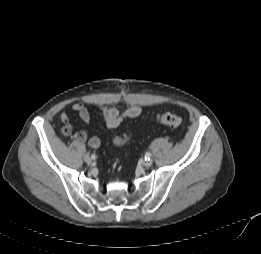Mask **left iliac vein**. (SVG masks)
Listing matches in <instances>:
<instances>
[{"mask_svg":"<svg viewBox=\"0 0 261 254\" xmlns=\"http://www.w3.org/2000/svg\"><path fill=\"white\" fill-rule=\"evenodd\" d=\"M152 163H153V160L150 159V160L144 161L143 165H144V167L149 168L152 165Z\"/></svg>","mask_w":261,"mask_h":254,"instance_id":"obj_1","label":"left iliac vein"}]
</instances>
